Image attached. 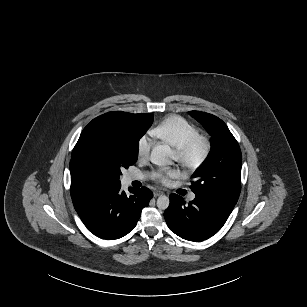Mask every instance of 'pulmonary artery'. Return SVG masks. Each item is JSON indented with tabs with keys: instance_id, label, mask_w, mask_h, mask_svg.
<instances>
[{
	"instance_id": "pulmonary-artery-1",
	"label": "pulmonary artery",
	"mask_w": 307,
	"mask_h": 307,
	"mask_svg": "<svg viewBox=\"0 0 307 307\" xmlns=\"http://www.w3.org/2000/svg\"><path fill=\"white\" fill-rule=\"evenodd\" d=\"M142 178H143V176L137 175V174H130V175H129V179H130V180L142 179ZM189 198H190L191 200L194 199V198H195V194H191V195L189 196Z\"/></svg>"
}]
</instances>
